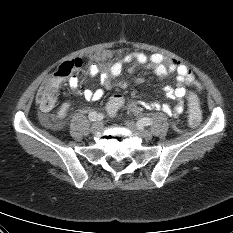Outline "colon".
Returning a JSON list of instances; mask_svg holds the SVG:
<instances>
[{
  "mask_svg": "<svg viewBox=\"0 0 233 233\" xmlns=\"http://www.w3.org/2000/svg\"><path fill=\"white\" fill-rule=\"evenodd\" d=\"M85 67L83 61L79 58L66 61L62 63L57 71L48 77L43 85L40 87L36 102L42 111H49L55 102V96L60 82L75 73L81 71ZM122 95H114L108 103L107 110L108 113L113 115L123 104ZM189 125L191 127H196L201 121V111L199 107V102L197 96L194 93L189 94Z\"/></svg>",
  "mask_w": 233,
  "mask_h": 233,
  "instance_id": "obj_1",
  "label": "colon"
}]
</instances>
